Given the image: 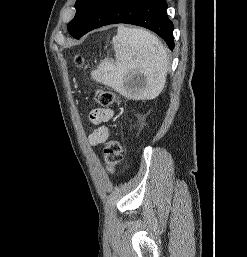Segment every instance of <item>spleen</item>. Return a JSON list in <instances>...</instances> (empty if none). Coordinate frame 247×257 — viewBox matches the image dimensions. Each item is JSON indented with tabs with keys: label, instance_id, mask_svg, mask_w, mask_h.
Masks as SVG:
<instances>
[{
	"label": "spleen",
	"instance_id": "obj_1",
	"mask_svg": "<svg viewBox=\"0 0 247 257\" xmlns=\"http://www.w3.org/2000/svg\"><path fill=\"white\" fill-rule=\"evenodd\" d=\"M112 43L116 62L105 60L92 72L97 82L107 85L122 94L134 99H153L164 88L168 70L167 52L161 41L144 29L118 27ZM144 76L143 88L132 93L127 81L134 74Z\"/></svg>",
	"mask_w": 247,
	"mask_h": 257
}]
</instances>
